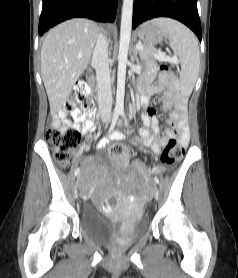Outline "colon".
<instances>
[{
    "instance_id": "1",
    "label": "colon",
    "mask_w": 238,
    "mask_h": 278,
    "mask_svg": "<svg viewBox=\"0 0 238 278\" xmlns=\"http://www.w3.org/2000/svg\"><path fill=\"white\" fill-rule=\"evenodd\" d=\"M160 78L163 81H170L174 78L172 70L166 64L161 65ZM64 110L68 112H79L87 114L93 111V102L89 97V89L85 82L76 84L72 94L68 97L64 105ZM46 140L51 147L54 158L60 166H67L74 156L79 145L80 133L72 127L66 129L50 128L46 132ZM109 154L116 160L124 158L128 152L119 144H114L109 148ZM184 156V147L176 140L172 139L164 148L161 157V168L170 167L179 162Z\"/></svg>"
}]
</instances>
